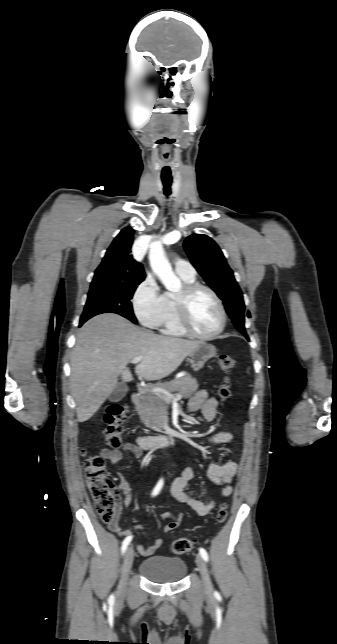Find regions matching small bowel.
<instances>
[{"instance_id": "small-bowel-1", "label": "small bowel", "mask_w": 337, "mask_h": 644, "mask_svg": "<svg viewBox=\"0 0 337 644\" xmlns=\"http://www.w3.org/2000/svg\"><path fill=\"white\" fill-rule=\"evenodd\" d=\"M218 402L216 398L209 395L206 390H201L197 392L189 401L188 411L195 412L200 410L205 419L208 422L213 421L217 415ZM233 440V434L228 431H223L214 434L210 437L209 441L213 444L228 443ZM125 452L131 453L134 457L140 458L143 455V450L139 446L133 443H125L121 449H104L101 452V456L110 462L112 465L120 463L123 459V454ZM238 470L237 461H229L225 464H217L212 462L209 464L207 476L208 479L215 485L222 486L221 496L228 497L231 495L233 488L232 483L233 479ZM194 477L193 468L190 465H187L181 476L174 479L170 485V491L173 498L182 504L187 505L189 508L194 510L197 515L204 516L211 512L217 502L211 501L209 503H203L202 501L192 498L185 493V487L188 482ZM117 493L123 497V504L125 507H129L133 503V498L131 495V489L126 482H121L117 488ZM162 517L167 521L163 527V532L168 533L176 529L180 522L181 516L173 515L170 512L162 513ZM109 529L121 537L132 536L131 532L127 529H124L119 524L118 516L108 524ZM136 529L140 530L141 526L136 525ZM165 544L164 539L157 538L148 547L142 545L137 546V551L144 557L153 555L156 550L161 548Z\"/></svg>"}]
</instances>
